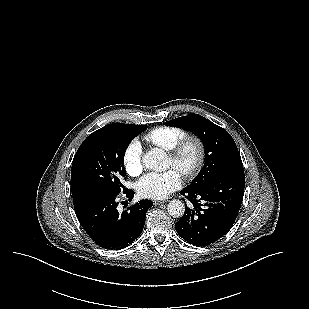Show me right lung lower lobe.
Instances as JSON below:
<instances>
[{"label": "right lung lower lobe", "instance_id": "right-lung-lower-lobe-1", "mask_svg": "<svg viewBox=\"0 0 309 309\" xmlns=\"http://www.w3.org/2000/svg\"><path fill=\"white\" fill-rule=\"evenodd\" d=\"M129 200L134 191L123 192ZM116 193H90L74 198L76 216L90 238L100 247L118 250L132 244L141 234L151 200H140L127 211L117 209Z\"/></svg>", "mask_w": 309, "mask_h": 309}]
</instances>
